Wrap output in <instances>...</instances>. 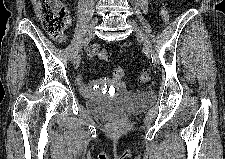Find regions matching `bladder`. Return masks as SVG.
<instances>
[{
  "instance_id": "obj_1",
  "label": "bladder",
  "mask_w": 225,
  "mask_h": 159,
  "mask_svg": "<svg viewBox=\"0 0 225 159\" xmlns=\"http://www.w3.org/2000/svg\"><path fill=\"white\" fill-rule=\"evenodd\" d=\"M154 102L151 94L144 92H126L116 97H94L86 102L87 109L94 115L108 118L116 112L133 114Z\"/></svg>"
}]
</instances>
